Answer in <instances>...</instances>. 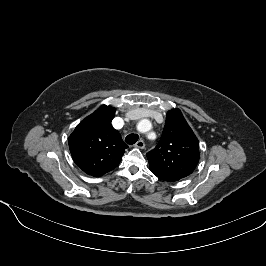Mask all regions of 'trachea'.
Returning a JSON list of instances; mask_svg holds the SVG:
<instances>
[{"label": "trachea", "instance_id": "3493384b", "mask_svg": "<svg viewBox=\"0 0 266 266\" xmlns=\"http://www.w3.org/2000/svg\"><path fill=\"white\" fill-rule=\"evenodd\" d=\"M138 138L137 134H129L126 136L125 141L127 144L132 145L137 142Z\"/></svg>", "mask_w": 266, "mask_h": 266}]
</instances>
